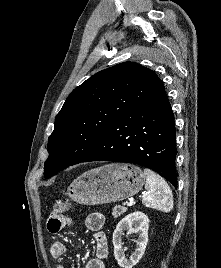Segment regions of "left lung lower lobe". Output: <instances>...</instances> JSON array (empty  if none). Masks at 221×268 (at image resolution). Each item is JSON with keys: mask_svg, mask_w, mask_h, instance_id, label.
I'll return each instance as SVG.
<instances>
[{"mask_svg": "<svg viewBox=\"0 0 221 268\" xmlns=\"http://www.w3.org/2000/svg\"><path fill=\"white\" fill-rule=\"evenodd\" d=\"M174 115L165 91L118 117L81 162L115 161L146 166L177 188Z\"/></svg>", "mask_w": 221, "mask_h": 268, "instance_id": "obj_1", "label": "left lung lower lobe"}]
</instances>
